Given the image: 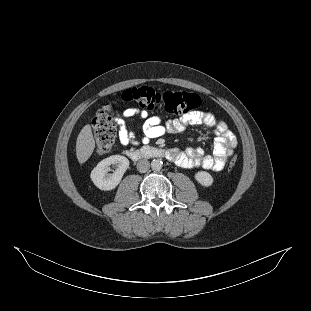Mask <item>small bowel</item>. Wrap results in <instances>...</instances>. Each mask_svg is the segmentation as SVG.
<instances>
[{"instance_id": "1", "label": "small bowel", "mask_w": 311, "mask_h": 311, "mask_svg": "<svg viewBox=\"0 0 311 311\" xmlns=\"http://www.w3.org/2000/svg\"><path fill=\"white\" fill-rule=\"evenodd\" d=\"M139 115L143 119L142 141L149 142L165 134L182 132L188 126L203 125L213 130L216 135L212 154H207L200 147H190L186 150L171 149L172 159L177 166L193 169L204 168L207 170L221 171L233 154L237 139L228 125L216 118L211 112L193 111L180 118L163 122L158 116H150L146 110L127 108L121 117L116 118L119 126V140L123 145L137 144L135 133L127 127V120Z\"/></svg>"}]
</instances>
